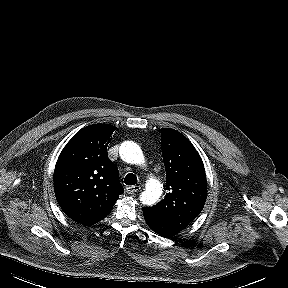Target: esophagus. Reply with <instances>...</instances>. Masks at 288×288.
Masks as SVG:
<instances>
[{
  "instance_id": "esophagus-1",
  "label": "esophagus",
  "mask_w": 288,
  "mask_h": 288,
  "mask_svg": "<svg viewBox=\"0 0 288 288\" xmlns=\"http://www.w3.org/2000/svg\"><path fill=\"white\" fill-rule=\"evenodd\" d=\"M139 190H140V186H137V185L128 186L126 188V192L128 194H134V193L138 192Z\"/></svg>"
}]
</instances>
